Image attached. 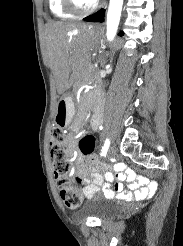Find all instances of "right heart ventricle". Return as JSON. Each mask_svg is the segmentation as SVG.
<instances>
[{"label": "right heart ventricle", "mask_w": 183, "mask_h": 246, "mask_svg": "<svg viewBox=\"0 0 183 246\" xmlns=\"http://www.w3.org/2000/svg\"><path fill=\"white\" fill-rule=\"evenodd\" d=\"M49 8L52 15L59 19H69L74 16V14L66 10L63 0H49Z\"/></svg>", "instance_id": "e07e8e85"}]
</instances>
